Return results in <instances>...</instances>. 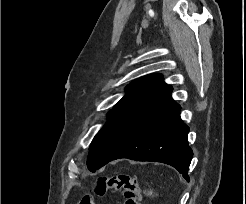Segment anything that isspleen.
Here are the masks:
<instances>
[{
	"label": "spleen",
	"instance_id": "spleen-1",
	"mask_svg": "<svg viewBox=\"0 0 246 204\" xmlns=\"http://www.w3.org/2000/svg\"><path fill=\"white\" fill-rule=\"evenodd\" d=\"M147 196H153V190L145 191L144 192Z\"/></svg>",
	"mask_w": 246,
	"mask_h": 204
}]
</instances>
